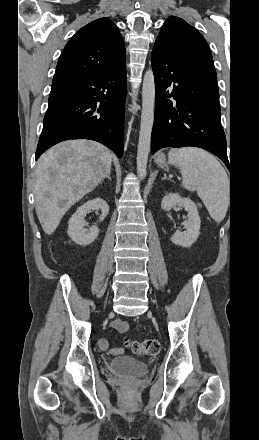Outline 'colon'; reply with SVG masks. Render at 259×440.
Returning a JSON list of instances; mask_svg holds the SVG:
<instances>
[{"instance_id": "colon-1", "label": "colon", "mask_w": 259, "mask_h": 440, "mask_svg": "<svg viewBox=\"0 0 259 440\" xmlns=\"http://www.w3.org/2000/svg\"><path fill=\"white\" fill-rule=\"evenodd\" d=\"M132 351L137 355L154 356L160 350V344L156 339H146L142 342L127 341Z\"/></svg>"}]
</instances>
